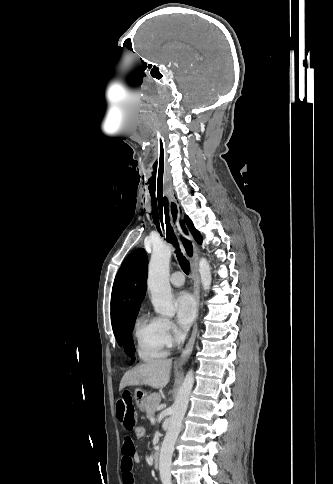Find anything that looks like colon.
<instances>
[{
    "mask_svg": "<svg viewBox=\"0 0 333 484\" xmlns=\"http://www.w3.org/2000/svg\"><path fill=\"white\" fill-rule=\"evenodd\" d=\"M147 429L144 425H137L133 431L134 437L141 440L146 436Z\"/></svg>",
    "mask_w": 333,
    "mask_h": 484,
    "instance_id": "obj_1",
    "label": "colon"
}]
</instances>
